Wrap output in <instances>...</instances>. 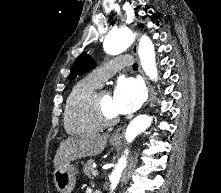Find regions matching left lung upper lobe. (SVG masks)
I'll use <instances>...</instances> for the list:
<instances>
[{"instance_id": "1", "label": "left lung upper lobe", "mask_w": 221, "mask_h": 193, "mask_svg": "<svg viewBox=\"0 0 221 193\" xmlns=\"http://www.w3.org/2000/svg\"><path fill=\"white\" fill-rule=\"evenodd\" d=\"M142 25L139 24V27ZM95 62L91 57H89L86 53H82L80 56L77 57L75 60L71 72L69 75V79L75 78L77 75L81 76L85 74L86 72L92 70L95 68Z\"/></svg>"}]
</instances>
